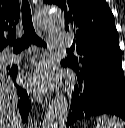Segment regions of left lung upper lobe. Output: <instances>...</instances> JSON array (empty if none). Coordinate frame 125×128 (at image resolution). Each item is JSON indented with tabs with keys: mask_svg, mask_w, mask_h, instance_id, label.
I'll list each match as a JSON object with an SVG mask.
<instances>
[{
	"mask_svg": "<svg viewBox=\"0 0 125 128\" xmlns=\"http://www.w3.org/2000/svg\"><path fill=\"white\" fill-rule=\"evenodd\" d=\"M58 5L65 13V30L75 33L72 55L62 60L85 79L107 71L122 70V52L114 16L105 0H43Z\"/></svg>",
	"mask_w": 125,
	"mask_h": 128,
	"instance_id": "5c2ea615",
	"label": "left lung upper lobe"
}]
</instances>
